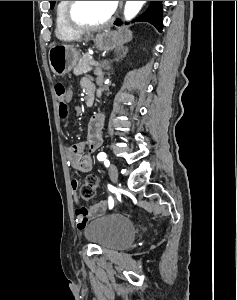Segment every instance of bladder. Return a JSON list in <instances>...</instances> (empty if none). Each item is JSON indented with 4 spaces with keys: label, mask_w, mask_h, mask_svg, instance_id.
I'll list each match as a JSON object with an SVG mask.
<instances>
[{
    "label": "bladder",
    "mask_w": 237,
    "mask_h": 300,
    "mask_svg": "<svg viewBox=\"0 0 237 300\" xmlns=\"http://www.w3.org/2000/svg\"><path fill=\"white\" fill-rule=\"evenodd\" d=\"M85 239L103 250H119L131 244L135 226L131 220L119 214H105L87 223Z\"/></svg>",
    "instance_id": "1"
}]
</instances>
